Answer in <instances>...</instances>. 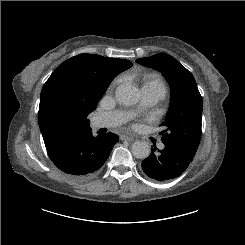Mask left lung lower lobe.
<instances>
[{
    "mask_svg": "<svg viewBox=\"0 0 245 245\" xmlns=\"http://www.w3.org/2000/svg\"><path fill=\"white\" fill-rule=\"evenodd\" d=\"M165 148L155 152L142 162L144 173L157 181H168L180 176L193 160L194 155L178 145L164 143Z\"/></svg>",
    "mask_w": 245,
    "mask_h": 245,
    "instance_id": "0a47b994",
    "label": "left lung lower lobe"
}]
</instances>
